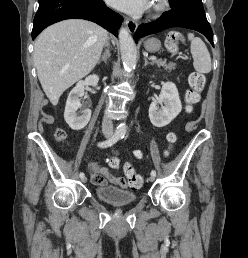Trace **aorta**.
Here are the masks:
<instances>
[{
    "instance_id": "aorta-1",
    "label": "aorta",
    "mask_w": 248,
    "mask_h": 258,
    "mask_svg": "<svg viewBox=\"0 0 248 258\" xmlns=\"http://www.w3.org/2000/svg\"><path fill=\"white\" fill-rule=\"evenodd\" d=\"M119 43L123 66L125 70L132 71L137 61V50L135 42L126 28H121L119 31ZM125 132V124H120L117 127V133L125 134Z\"/></svg>"
}]
</instances>
